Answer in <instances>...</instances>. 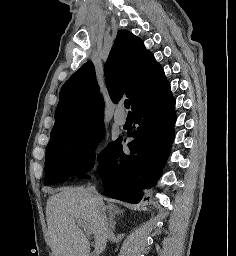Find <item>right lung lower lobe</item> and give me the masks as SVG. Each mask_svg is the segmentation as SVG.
<instances>
[{
	"label": "right lung lower lobe",
	"instance_id": "right-lung-lower-lobe-1",
	"mask_svg": "<svg viewBox=\"0 0 236 256\" xmlns=\"http://www.w3.org/2000/svg\"><path fill=\"white\" fill-rule=\"evenodd\" d=\"M132 113L139 127L128 135L134 138L127 144L130 153L122 151L118 138L97 172L111 198L138 203L158 181L174 140L175 100L169 82L136 104Z\"/></svg>",
	"mask_w": 236,
	"mask_h": 256
}]
</instances>
